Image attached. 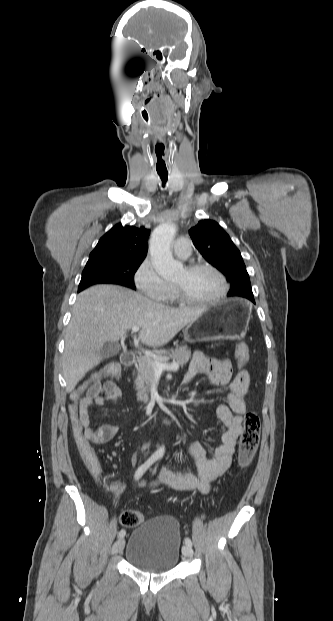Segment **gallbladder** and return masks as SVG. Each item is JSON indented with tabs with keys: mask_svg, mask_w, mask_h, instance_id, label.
I'll return each mask as SVG.
<instances>
[{
	"mask_svg": "<svg viewBox=\"0 0 333 621\" xmlns=\"http://www.w3.org/2000/svg\"><path fill=\"white\" fill-rule=\"evenodd\" d=\"M121 351V346L117 342H107L103 348L102 356L104 358L112 357Z\"/></svg>",
	"mask_w": 333,
	"mask_h": 621,
	"instance_id": "bac80fb5",
	"label": "gallbladder"
}]
</instances>
